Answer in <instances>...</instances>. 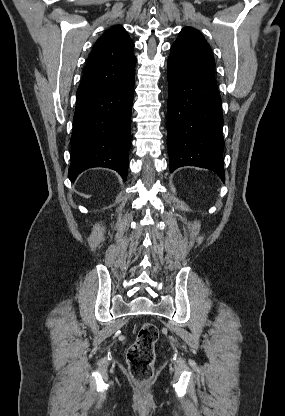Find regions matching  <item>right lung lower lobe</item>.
I'll return each instance as SVG.
<instances>
[{
    "instance_id": "98d812e1",
    "label": "right lung lower lobe",
    "mask_w": 285,
    "mask_h": 416,
    "mask_svg": "<svg viewBox=\"0 0 285 416\" xmlns=\"http://www.w3.org/2000/svg\"><path fill=\"white\" fill-rule=\"evenodd\" d=\"M134 79L135 72L107 89L77 98L68 172L71 181L92 167L111 168L126 179Z\"/></svg>"
}]
</instances>
